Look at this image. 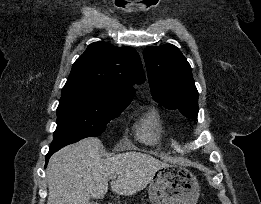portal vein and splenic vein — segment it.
I'll return each mask as SVG.
<instances>
[{"instance_id":"portal-vein-and-splenic-vein-1","label":"portal vein and splenic vein","mask_w":261,"mask_h":204,"mask_svg":"<svg viewBox=\"0 0 261 204\" xmlns=\"http://www.w3.org/2000/svg\"><path fill=\"white\" fill-rule=\"evenodd\" d=\"M115 178H116V176H111L109 179L113 180V179H115Z\"/></svg>"}]
</instances>
